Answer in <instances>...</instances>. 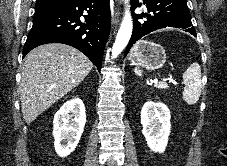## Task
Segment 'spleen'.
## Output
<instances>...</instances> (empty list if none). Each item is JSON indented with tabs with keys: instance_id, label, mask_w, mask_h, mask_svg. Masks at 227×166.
<instances>
[{
	"instance_id": "spleen-1",
	"label": "spleen",
	"mask_w": 227,
	"mask_h": 166,
	"mask_svg": "<svg viewBox=\"0 0 227 166\" xmlns=\"http://www.w3.org/2000/svg\"><path fill=\"white\" fill-rule=\"evenodd\" d=\"M135 74L142 76V71L139 68L134 69ZM183 81L185 84L183 91V99L193 105L198 102L202 91L201 68L196 62L192 63L183 73Z\"/></svg>"
}]
</instances>
